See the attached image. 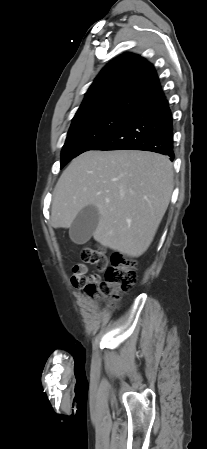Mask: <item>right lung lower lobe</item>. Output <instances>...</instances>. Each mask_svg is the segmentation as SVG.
I'll return each instance as SVG.
<instances>
[{"instance_id":"98d812e1","label":"right lung lower lobe","mask_w":207,"mask_h":449,"mask_svg":"<svg viewBox=\"0 0 207 449\" xmlns=\"http://www.w3.org/2000/svg\"><path fill=\"white\" fill-rule=\"evenodd\" d=\"M173 118L165 95L132 114L92 150H145L174 158Z\"/></svg>"}]
</instances>
